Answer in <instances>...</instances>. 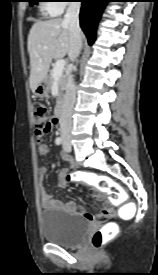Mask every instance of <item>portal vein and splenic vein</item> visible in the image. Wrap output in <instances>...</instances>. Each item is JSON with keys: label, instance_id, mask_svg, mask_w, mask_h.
<instances>
[{"label": "portal vein and splenic vein", "instance_id": "1", "mask_svg": "<svg viewBox=\"0 0 158 275\" xmlns=\"http://www.w3.org/2000/svg\"><path fill=\"white\" fill-rule=\"evenodd\" d=\"M64 67H65V60L59 59L56 61L55 66L53 68L54 79H59V77L63 74Z\"/></svg>", "mask_w": 158, "mask_h": 275}]
</instances>
